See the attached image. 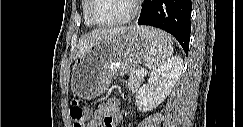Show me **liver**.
Returning a JSON list of instances; mask_svg holds the SVG:
<instances>
[{"mask_svg": "<svg viewBox=\"0 0 243 127\" xmlns=\"http://www.w3.org/2000/svg\"><path fill=\"white\" fill-rule=\"evenodd\" d=\"M125 28H114V29H103L96 30L87 35H84L79 41L78 54L77 56L83 55L87 53L94 44L102 38H105L109 35H113L114 33L123 30Z\"/></svg>", "mask_w": 243, "mask_h": 127, "instance_id": "6515ba94", "label": "liver"}]
</instances>
